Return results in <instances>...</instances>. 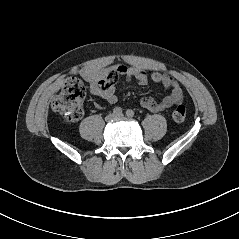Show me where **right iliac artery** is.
<instances>
[{
    "label": "right iliac artery",
    "mask_w": 239,
    "mask_h": 239,
    "mask_svg": "<svg viewBox=\"0 0 239 239\" xmlns=\"http://www.w3.org/2000/svg\"><path fill=\"white\" fill-rule=\"evenodd\" d=\"M113 113H114L115 115H121V114H122V109H121L120 107H115V108L113 109Z\"/></svg>",
    "instance_id": "right-iliac-artery-1"
}]
</instances>
